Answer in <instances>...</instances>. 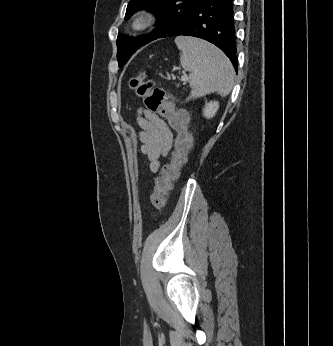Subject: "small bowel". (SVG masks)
Instances as JSON below:
<instances>
[{
  "instance_id": "small-bowel-1",
  "label": "small bowel",
  "mask_w": 333,
  "mask_h": 346,
  "mask_svg": "<svg viewBox=\"0 0 333 346\" xmlns=\"http://www.w3.org/2000/svg\"><path fill=\"white\" fill-rule=\"evenodd\" d=\"M137 123L141 152L147 157L151 171L157 172L160 158L168 155L173 147L172 129L159 115L144 109L139 110Z\"/></svg>"
}]
</instances>
